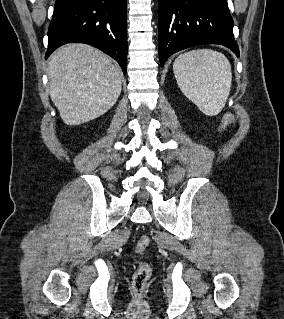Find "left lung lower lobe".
<instances>
[{
    "label": "left lung lower lobe",
    "instance_id": "obj_1",
    "mask_svg": "<svg viewBox=\"0 0 284 319\" xmlns=\"http://www.w3.org/2000/svg\"><path fill=\"white\" fill-rule=\"evenodd\" d=\"M158 49L161 66L183 49L220 44L239 57L227 0H158Z\"/></svg>",
    "mask_w": 284,
    "mask_h": 319
}]
</instances>
